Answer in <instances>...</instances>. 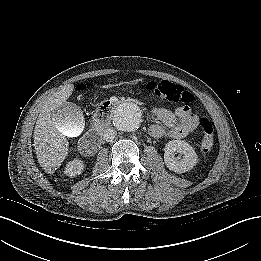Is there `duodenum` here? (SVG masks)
<instances>
[{
    "label": "duodenum",
    "instance_id": "410a0bca",
    "mask_svg": "<svg viewBox=\"0 0 261 261\" xmlns=\"http://www.w3.org/2000/svg\"><path fill=\"white\" fill-rule=\"evenodd\" d=\"M108 114L109 112L104 118L96 119L93 128L80 140L79 150L81 153L92 155L101 147V131L111 122Z\"/></svg>",
    "mask_w": 261,
    "mask_h": 261
}]
</instances>
